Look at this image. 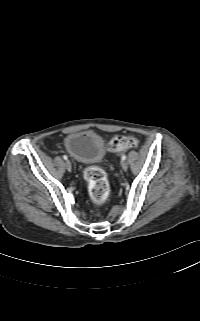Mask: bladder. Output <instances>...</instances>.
I'll return each instance as SVG.
<instances>
[{
  "instance_id": "31cf9c89",
  "label": "bladder",
  "mask_w": 200,
  "mask_h": 321,
  "mask_svg": "<svg viewBox=\"0 0 200 321\" xmlns=\"http://www.w3.org/2000/svg\"><path fill=\"white\" fill-rule=\"evenodd\" d=\"M68 154L80 163H96L103 159L106 152L104 139L93 130L69 133L64 139Z\"/></svg>"
}]
</instances>
